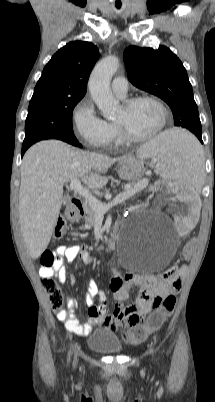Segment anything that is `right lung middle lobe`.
<instances>
[{"label": "right lung middle lobe", "instance_id": "obj_1", "mask_svg": "<svg viewBox=\"0 0 215 402\" xmlns=\"http://www.w3.org/2000/svg\"><path fill=\"white\" fill-rule=\"evenodd\" d=\"M80 100L46 94L32 96L23 145L30 146L44 139H59L68 143L76 141L72 130V112Z\"/></svg>", "mask_w": 215, "mask_h": 402}]
</instances>
